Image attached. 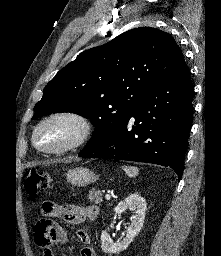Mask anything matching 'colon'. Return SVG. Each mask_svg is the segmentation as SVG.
<instances>
[{
	"instance_id": "obj_1",
	"label": "colon",
	"mask_w": 221,
	"mask_h": 256,
	"mask_svg": "<svg viewBox=\"0 0 221 256\" xmlns=\"http://www.w3.org/2000/svg\"><path fill=\"white\" fill-rule=\"evenodd\" d=\"M52 185L53 181L48 173L36 169L28 170L24 187L30 198L34 199L40 191L49 189Z\"/></svg>"
}]
</instances>
